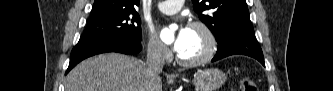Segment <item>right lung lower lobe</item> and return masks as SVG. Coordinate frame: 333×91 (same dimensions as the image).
Segmentation results:
<instances>
[{"label": "right lung lower lobe", "instance_id": "98d812e1", "mask_svg": "<svg viewBox=\"0 0 333 91\" xmlns=\"http://www.w3.org/2000/svg\"><path fill=\"white\" fill-rule=\"evenodd\" d=\"M141 49V41H133L119 35H82L72 50L66 74L80 61L93 55L106 52L133 55Z\"/></svg>", "mask_w": 333, "mask_h": 91}]
</instances>
